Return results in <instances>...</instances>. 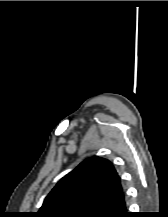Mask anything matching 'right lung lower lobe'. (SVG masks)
<instances>
[{
  "label": "right lung lower lobe",
  "instance_id": "obj_1",
  "mask_svg": "<svg viewBox=\"0 0 168 217\" xmlns=\"http://www.w3.org/2000/svg\"><path fill=\"white\" fill-rule=\"evenodd\" d=\"M107 217H134V215L127 211V207L125 204Z\"/></svg>",
  "mask_w": 168,
  "mask_h": 217
}]
</instances>
